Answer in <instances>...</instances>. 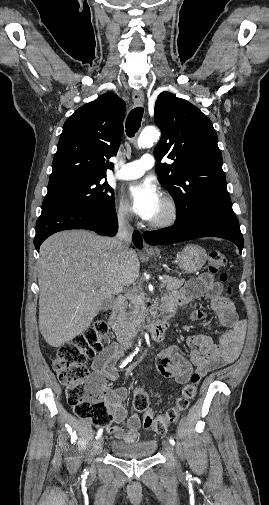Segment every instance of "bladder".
<instances>
[{
  "label": "bladder",
  "mask_w": 269,
  "mask_h": 505,
  "mask_svg": "<svg viewBox=\"0 0 269 505\" xmlns=\"http://www.w3.org/2000/svg\"><path fill=\"white\" fill-rule=\"evenodd\" d=\"M157 446V442L153 439L134 443L114 440L110 443L112 453L126 459L151 457L156 452Z\"/></svg>",
  "instance_id": "1"
}]
</instances>
